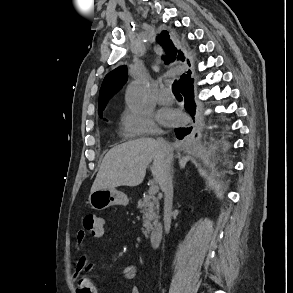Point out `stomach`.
Wrapping results in <instances>:
<instances>
[{
    "label": "stomach",
    "instance_id": "1",
    "mask_svg": "<svg viewBox=\"0 0 293 293\" xmlns=\"http://www.w3.org/2000/svg\"><path fill=\"white\" fill-rule=\"evenodd\" d=\"M129 203L126 194L117 190L99 189L90 193L89 204L95 210H104L114 205H124Z\"/></svg>",
    "mask_w": 293,
    "mask_h": 293
}]
</instances>
